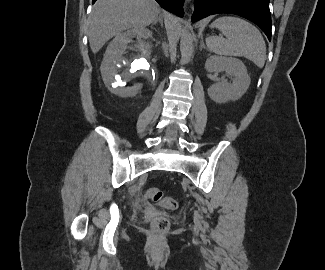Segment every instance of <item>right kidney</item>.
I'll return each mask as SVG.
<instances>
[{"label":"right kidney","instance_id":"right-kidney-1","mask_svg":"<svg viewBox=\"0 0 325 270\" xmlns=\"http://www.w3.org/2000/svg\"><path fill=\"white\" fill-rule=\"evenodd\" d=\"M151 38L152 32L143 28L128 30L111 41L104 54L101 74L106 87L113 94L133 97L152 79L156 68L151 62ZM122 65L126 66L124 70ZM132 81L133 85L126 86Z\"/></svg>","mask_w":325,"mask_h":270}]
</instances>
